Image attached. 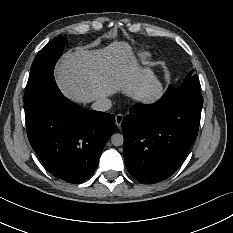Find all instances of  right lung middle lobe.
<instances>
[{
	"instance_id": "dd1d6c3e",
	"label": "right lung middle lobe",
	"mask_w": 233,
	"mask_h": 233,
	"mask_svg": "<svg viewBox=\"0 0 233 233\" xmlns=\"http://www.w3.org/2000/svg\"><path fill=\"white\" fill-rule=\"evenodd\" d=\"M66 39L59 36L42 48L35 57L26 87L25 101L31 99L51 82L54 66L62 55Z\"/></svg>"
}]
</instances>
